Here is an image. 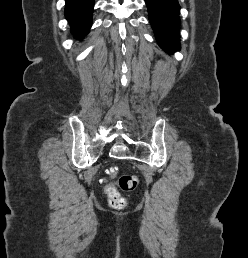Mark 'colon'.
<instances>
[{
    "label": "colon",
    "mask_w": 248,
    "mask_h": 258,
    "mask_svg": "<svg viewBox=\"0 0 248 258\" xmlns=\"http://www.w3.org/2000/svg\"><path fill=\"white\" fill-rule=\"evenodd\" d=\"M112 172H115L113 169ZM119 187L126 192L135 191L138 186V178L134 175H122L118 179ZM110 205L115 209H123L127 205V200L120 192L113 186L108 185L105 188Z\"/></svg>",
    "instance_id": "obj_1"
}]
</instances>
